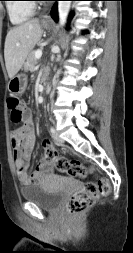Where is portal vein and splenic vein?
Returning a JSON list of instances; mask_svg holds the SVG:
<instances>
[{"mask_svg":"<svg viewBox=\"0 0 133 253\" xmlns=\"http://www.w3.org/2000/svg\"><path fill=\"white\" fill-rule=\"evenodd\" d=\"M42 56V50L41 49H38L36 52H35V57L36 59H40Z\"/></svg>","mask_w":133,"mask_h":253,"instance_id":"18ae733b","label":"portal vein and splenic vein"}]
</instances>
